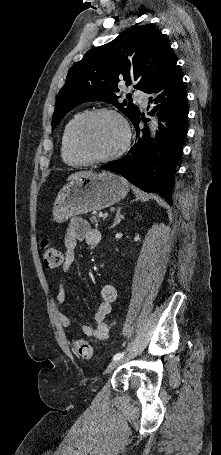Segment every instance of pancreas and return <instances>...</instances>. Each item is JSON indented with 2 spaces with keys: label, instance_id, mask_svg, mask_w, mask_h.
I'll use <instances>...</instances> for the list:
<instances>
[{
  "label": "pancreas",
  "instance_id": "pancreas-1",
  "mask_svg": "<svg viewBox=\"0 0 221 455\" xmlns=\"http://www.w3.org/2000/svg\"><path fill=\"white\" fill-rule=\"evenodd\" d=\"M90 221L93 224H98L100 222V219L98 218V216L93 215L90 217Z\"/></svg>",
  "mask_w": 221,
  "mask_h": 455
}]
</instances>
